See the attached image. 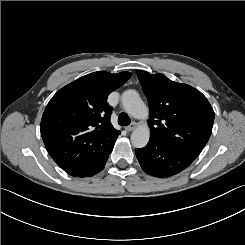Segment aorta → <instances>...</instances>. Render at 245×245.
<instances>
[{"mask_svg":"<svg viewBox=\"0 0 245 245\" xmlns=\"http://www.w3.org/2000/svg\"><path fill=\"white\" fill-rule=\"evenodd\" d=\"M122 104L129 115L136 119H147L149 112L147 106L141 100L135 90H126L123 92ZM150 138V129L147 125L138 126L131 134V143L135 148L145 147Z\"/></svg>","mask_w":245,"mask_h":245,"instance_id":"762f6f07","label":"aorta"}]
</instances>
